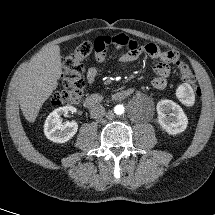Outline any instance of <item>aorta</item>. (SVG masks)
I'll list each match as a JSON object with an SVG mask.
<instances>
[{
	"instance_id": "762f6f07",
	"label": "aorta",
	"mask_w": 215,
	"mask_h": 215,
	"mask_svg": "<svg viewBox=\"0 0 215 215\" xmlns=\"http://www.w3.org/2000/svg\"><path fill=\"white\" fill-rule=\"evenodd\" d=\"M117 115H122L124 113V107L122 105H117L114 109Z\"/></svg>"
}]
</instances>
